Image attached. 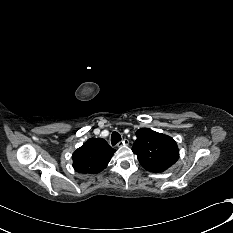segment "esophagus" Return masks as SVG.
Instances as JSON below:
<instances>
[{
	"label": "esophagus",
	"instance_id": "obj_1",
	"mask_svg": "<svg viewBox=\"0 0 233 233\" xmlns=\"http://www.w3.org/2000/svg\"><path fill=\"white\" fill-rule=\"evenodd\" d=\"M129 144V140L128 139H123L122 141H120L118 144H117V146L119 147V148H122V147H125V146H127Z\"/></svg>",
	"mask_w": 233,
	"mask_h": 233
}]
</instances>
